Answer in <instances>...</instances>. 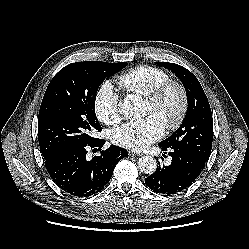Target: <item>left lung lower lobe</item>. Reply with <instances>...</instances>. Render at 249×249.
I'll return each instance as SVG.
<instances>
[{
    "label": "left lung lower lobe",
    "mask_w": 249,
    "mask_h": 249,
    "mask_svg": "<svg viewBox=\"0 0 249 249\" xmlns=\"http://www.w3.org/2000/svg\"><path fill=\"white\" fill-rule=\"evenodd\" d=\"M169 151L172 162L169 166L157 165V170L145 179L146 185L156 193L175 194L188 188L204 169L206 161L190 151L159 145Z\"/></svg>",
    "instance_id": "0a47b994"
}]
</instances>
